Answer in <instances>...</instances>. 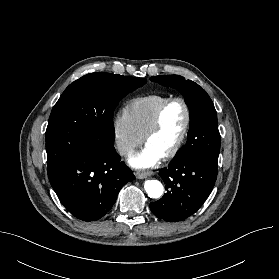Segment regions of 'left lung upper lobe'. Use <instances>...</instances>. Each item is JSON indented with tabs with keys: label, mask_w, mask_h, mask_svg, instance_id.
<instances>
[{
	"label": "left lung upper lobe",
	"mask_w": 279,
	"mask_h": 279,
	"mask_svg": "<svg viewBox=\"0 0 279 279\" xmlns=\"http://www.w3.org/2000/svg\"><path fill=\"white\" fill-rule=\"evenodd\" d=\"M150 80L179 90L185 96L190 111L188 141L175 158L191 155L217 165L220 133L217 113L206 91L195 82L178 75L153 76Z\"/></svg>",
	"instance_id": "obj_1"
}]
</instances>
